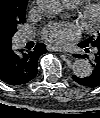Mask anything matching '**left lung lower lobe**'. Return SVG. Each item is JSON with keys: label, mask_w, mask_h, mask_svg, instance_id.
Wrapping results in <instances>:
<instances>
[{"label": "left lung lower lobe", "mask_w": 100, "mask_h": 118, "mask_svg": "<svg viewBox=\"0 0 100 118\" xmlns=\"http://www.w3.org/2000/svg\"><path fill=\"white\" fill-rule=\"evenodd\" d=\"M79 47L81 48H86V52H89V47H93L95 50V57L93 62L91 63L93 67V71L90 76L80 78L77 76H73L74 81H76L78 84L86 87H96L100 86V44L96 46H88V45H83L79 43ZM77 57H81L78 55ZM87 57V56H86Z\"/></svg>", "instance_id": "obj_1"}]
</instances>
